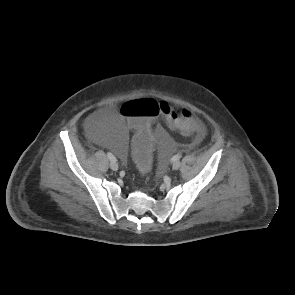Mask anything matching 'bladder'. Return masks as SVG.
<instances>
[{"label": "bladder", "instance_id": "1", "mask_svg": "<svg viewBox=\"0 0 295 295\" xmlns=\"http://www.w3.org/2000/svg\"><path fill=\"white\" fill-rule=\"evenodd\" d=\"M117 117L114 113L107 110L91 113L81 124V135L85 140L95 144H101L113 157H123L130 150L128 133L120 129L117 125ZM153 132L157 139L161 140L158 144V151L154 168L160 177L167 175L170 167V158L176 153V148L172 144V139L167 134L165 125L158 123Z\"/></svg>", "mask_w": 295, "mask_h": 295}]
</instances>
